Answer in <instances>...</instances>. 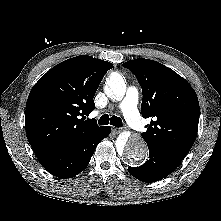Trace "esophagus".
<instances>
[{"instance_id": "34e87169", "label": "esophagus", "mask_w": 221, "mask_h": 221, "mask_svg": "<svg viewBox=\"0 0 221 221\" xmlns=\"http://www.w3.org/2000/svg\"><path fill=\"white\" fill-rule=\"evenodd\" d=\"M112 131H113V133L117 134V133L121 132V128L114 127L112 129Z\"/></svg>"}]
</instances>
